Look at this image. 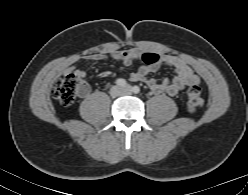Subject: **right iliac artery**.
Segmentation results:
<instances>
[{
  "instance_id": "82829eb1",
  "label": "right iliac artery",
  "mask_w": 248,
  "mask_h": 195,
  "mask_svg": "<svg viewBox=\"0 0 248 195\" xmlns=\"http://www.w3.org/2000/svg\"><path fill=\"white\" fill-rule=\"evenodd\" d=\"M115 83H116L118 86H121V87H125V86L128 85L127 82H126V80H124V79H117Z\"/></svg>"
}]
</instances>
